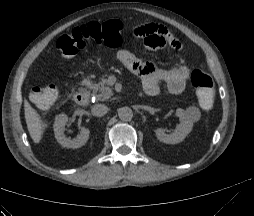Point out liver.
I'll return each mask as SVG.
<instances>
[{"label":"liver","instance_id":"liver-1","mask_svg":"<svg viewBox=\"0 0 254 216\" xmlns=\"http://www.w3.org/2000/svg\"><path fill=\"white\" fill-rule=\"evenodd\" d=\"M25 120L29 134L34 141L38 144L43 135V124L39 114L31 107L28 101L24 102Z\"/></svg>","mask_w":254,"mask_h":216}]
</instances>
